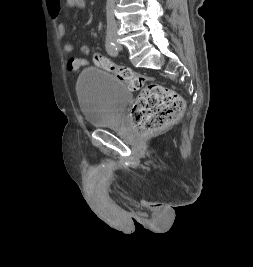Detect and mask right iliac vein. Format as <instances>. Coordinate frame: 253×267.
Instances as JSON below:
<instances>
[{
	"instance_id": "right-iliac-vein-1",
	"label": "right iliac vein",
	"mask_w": 253,
	"mask_h": 267,
	"mask_svg": "<svg viewBox=\"0 0 253 267\" xmlns=\"http://www.w3.org/2000/svg\"><path fill=\"white\" fill-rule=\"evenodd\" d=\"M112 41H116V38L115 37H112Z\"/></svg>"
}]
</instances>
